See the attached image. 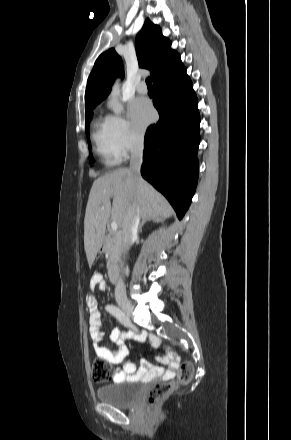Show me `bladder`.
Masks as SVG:
<instances>
[{"instance_id":"1","label":"bladder","mask_w":291,"mask_h":440,"mask_svg":"<svg viewBox=\"0 0 291 440\" xmlns=\"http://www.w3.org/2000/svg\"><path fill=\"white\" fill-rule=\"evenodd\" d=\"M141 392L140 382L124 379L99 387L95 394L97 399L102 402L111 403L120 408H127L139 399Z\"/></svg>"}]
</instances>
